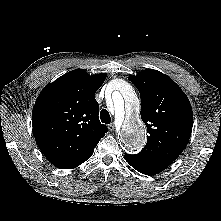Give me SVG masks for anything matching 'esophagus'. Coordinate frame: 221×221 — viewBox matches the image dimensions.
Wrapping results in <instances>:
<instances>
[{"label":"esophagus","mask_w":221,"mask_h":221,"mask_svg":"<svg viewBox=\"0 0 221 221\" xmlns=\"http://www.w3.org/2000/svg\"><path fill=\"white\" fill-rule=\"evenodd\" d=\"M108 129H109L111 132L114 131V129H115L114 123L109 124V125H108Z\"/></svg>","instance_id":"esophagus-1"}]
</instances>
